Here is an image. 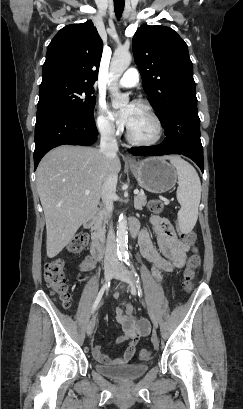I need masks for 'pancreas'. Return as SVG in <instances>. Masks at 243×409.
<instances>
[{
    "mask_svg": "<svg viewBox=\"0 0 243 409\" xmlns=\"http://www.w3.org/2000/svg\"><path fill=\"white\" fill-rule=\"evenodd\" d=\"M146 195L144 192H140L137 194V196L134 198V207L137 210H142V208L146 205ZM106 218L104 216H101L99 219V223L97 226V232L100 238H103L105 235V225H106Z\"/></svg>",
    "mask_w": 243,
    "mask_h": 409,
    "instance_id": "pancreas-1",
    "label": "pancreas"
}]
</instances>
